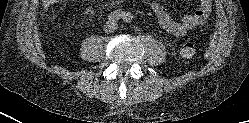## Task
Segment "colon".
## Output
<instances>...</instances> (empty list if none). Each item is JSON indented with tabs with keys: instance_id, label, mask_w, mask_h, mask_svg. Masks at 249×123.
I'll return each instance as SVG.
<instances>
[{
	"instance_id": "colon-1",
	"label": "colon",
	"mask_w": 249,
	"mask_h": 123,
	"mask_svg": "<svg viewBox=\"0 0 249 123\" xmlns=\"http://www.w3.org/2000/svg\"><path fill=\"white\" fill-rule=\"evenodd\" d=\"M196 53V47L193 42H185L180 50V54L183 58H192Z\"/></svg>"
}]
</instances>
